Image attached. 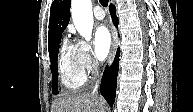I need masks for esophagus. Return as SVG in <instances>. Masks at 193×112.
<instances>
[{"instance_id":"obj_1","label":"esophagus","mask_w":193,"mask_h":112,"mask_svg":"<svg viewBox=\"0 0 193 112\" xmlns=\"http://www.w3.org/2000/svg\"><path fill=\"white\" fill-rule=\"evenodd\" d=\"M117 41H118V35L115 27H112V48L110 53V64L112 63V60L115 56L116 49H117Z\"/></svg>"}]
</instances>
